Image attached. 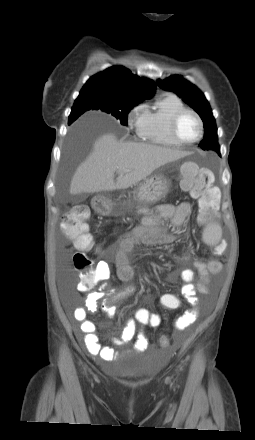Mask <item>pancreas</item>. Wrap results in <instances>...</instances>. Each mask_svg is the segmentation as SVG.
I'll return each mask as SVG.
<instances>
[{
  "label": "pancreas",
  "instance_id": "obj_1",
  "mask_svg": "<svg viewBox=\"0 0 255 440\" xmlns=\"http://www.w3.org/2000/svg\"><path fill=\"white\" fill-rule=\"evenodd\" d=\"M137 209H138L137 210L138 214H143V215L150 214V209L146 205H142V206L140 205L137 207Z\"/></svg>",
  "mask_w": 255,
  "mask_h": 440
}]
</instances>
